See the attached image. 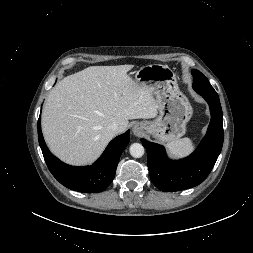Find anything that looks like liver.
<instances>
[{
	"label": "liver",
	"mask_w": 253,
	"mask_h": 253,
	"mask_svg": "<svg viewBox=\"0 0 253 253\" xmlns=\"http://www.w3.org/2000/svg\"><path fill=\"white\" fill-rule=\"evenodd\" d=\"M133 67L90 66L55 85L42 111L43 136L53 154L72 165L91 163L126 131L128 120L156 117L153 93L127 75ZM114 122L117 133L108 128Z\"/></svg>",
	"instance_id": "6515ba94"
}]
</instances>
